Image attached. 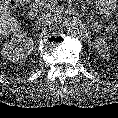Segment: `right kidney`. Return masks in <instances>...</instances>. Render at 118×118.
Instances as JSON below:
<instances>
[{"label": "right kidney", "instance_id": "obj_1", "mask_svg": "<svg viewBox=\"0 0 118 118\" xmlns=\"http://www.w3.org/2000/svg\"><path fill=\"white\" fill-rule=\"evenodd\" d=\"M34 48V42L26 34H15L10 41H6L1 54L4 59L14 63L26 59Z\"/></svg>", "mask_w": 118, "mask_h": 118}]
</instances>
